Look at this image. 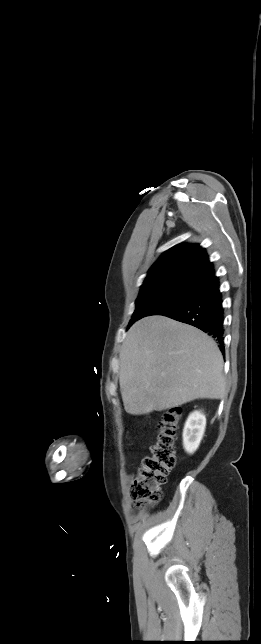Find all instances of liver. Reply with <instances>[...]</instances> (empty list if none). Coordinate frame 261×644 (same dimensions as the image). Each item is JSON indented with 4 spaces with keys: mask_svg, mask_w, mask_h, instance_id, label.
Returning <instances> with one entry per match:
<instances>
[{
    "mask_svg": "<svg viewBox=\"0 0 261 644\" xmlns=\"http://www.w3.org/2000/svg\"><path fill=\"white\" fill-rule=\"evenodd\" d=\"M119 382L124 408L132 415L226 394L223 357L215 341L159 315L129 329L120 351Z\"/></svg>",
    "mask_w": 261,
    "mask_h": 644,
    "instance_id": "1",
    "label": "liver"
}]
</instances>
